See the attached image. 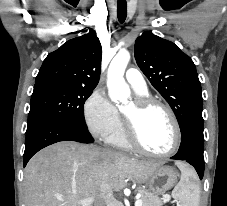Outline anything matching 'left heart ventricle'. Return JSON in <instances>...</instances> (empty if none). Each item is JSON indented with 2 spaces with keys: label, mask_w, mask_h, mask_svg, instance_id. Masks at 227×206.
<instances>
[{
  "label": "left heart ventricle",
  "mask_w": 227,
  "mask_h": 206,
  "mask_svg": "<svg viewBox=\"0 0 227 206\" xmlns=\"http://www.w3.org/2000/svg\"><path fill=\"white\" fill-rule=\"evenodd\" d=\"M129 117L136 113L134 102H130L123 110ZM138 136L142 144L150 151L163 153L174 143V128L168 114L159 107H152L137 119Z\"/></svg>",
  "instance_id": "obj_1"
}]
</instances>
